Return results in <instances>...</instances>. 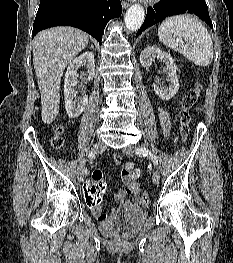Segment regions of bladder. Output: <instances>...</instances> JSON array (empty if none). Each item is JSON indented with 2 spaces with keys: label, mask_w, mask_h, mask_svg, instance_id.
<instances>
[{
  "label": "bladder",
  "mask_w": 233,
  "mask_h": 263,
  "mask_svg": "<svg viewBox=\"0 0 233 263\" xmlns=\"http://www.w3.org/2000/svg\"><path fill=\"white\" fill-rule=\"evenodd\" d=\"M147 218V212L140 208L118 209L107 219L100 221L103 235L115 238L134 236Z\"/></svg>",
  "instance_id": "1"
}]
</instances>
